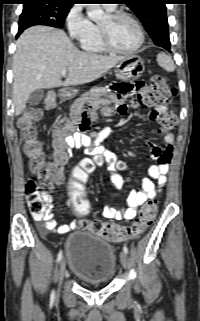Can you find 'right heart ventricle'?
Wrapping results in <instances>:
<instances>
[{"mask_svg": "<svg viewBox=\"0 0 200 321\" xmlns=\"http://www.w3.org/2000/svg\"><path fill=\"white\" fill-rule=\"evenodd\" d=\"M79 43L81 48L89 53H105L108 51L101 42L99 25L93 23L91 30L79 39Z\"/></svg>", "mask_w": 200, "mask_h": 321, "instance_id": "right-heart-ventricle-1", "label": "right heart ventricle"}]
</instances>
